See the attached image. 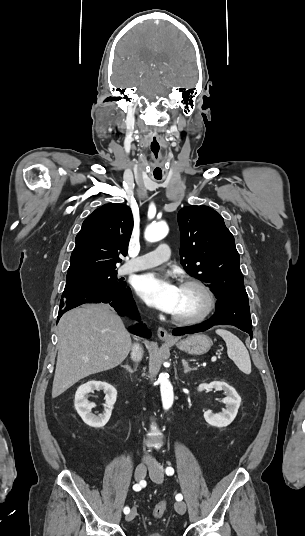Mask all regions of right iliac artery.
<instances>
[{
  "instance_id": "obj_1",
  "label": "right iliac artery",
  "mask_w": 305,
  "mask_h": 536,
  "mask_svg": "<svg viewBox=\"0 0 305 536\" xmlns=\"http://www.w3.org/2000/svg\"><path fill=\"white\" fill-rule=\"evenodd\" d=\"M142 487H144V486H143V483L140 482L139 484H135V485L133 486V489H134L135 491H140ZM129 512H130L129 507H125V508H124V513H125V514H128Z\"/></svg>"
}]
</instances>
